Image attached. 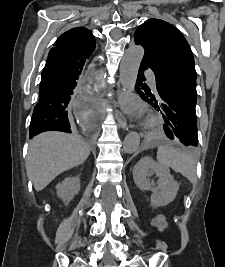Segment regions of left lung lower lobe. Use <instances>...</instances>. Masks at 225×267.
<instances>
[{
	"instance_id": "1",
	"label": "left lung lower lobe",
	"mask_w": 225,
	"mask_h": 267,
	"mask_svg": "<svg viewBox=\"0 0 225 267\" xmlns=\"http://www.w3.org/2000/svg\"><path fill=\"white\" fill-rule=\"evenodd\" d=\"M149 68L142 60L136 90L143 100L161 112L166 136L188 149H194L198 144L196 78L186 73H176L161 79L156 77L157 90L151 93L149 88H140V83L145 80L144 70Z\"/></svg>"
}]
</instances>
